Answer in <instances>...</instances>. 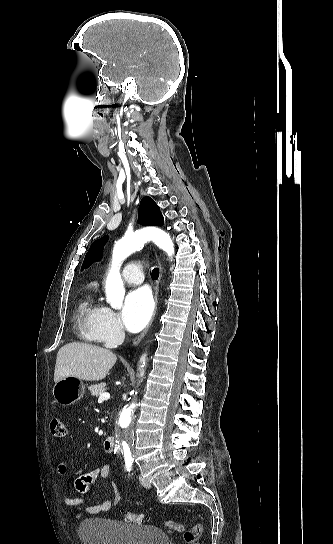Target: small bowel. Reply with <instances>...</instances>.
Instances as JSON below:
<instances>
[{
	"mask_svg": "<svg viewBox=\"0 0 333 544\" xmlns=\"http://www.w3.org/2000/svg\"><path fill=\"white\" fill-rule=\"evenodd\" d=\"M57 472L61 475L65 474L67 471V466L64 462H59L57 464ZM111 471L110 464H104L98 468L90 470L81 476H79L75 481V487L80 493H87L91 488V484L97 479L101 478L106 480L109 477ZM110 492L108 498L100 503L95 505H89L87 500L83 497H68L63 496V502L73 509V512L76 515H93L100 514L108 511L114 504H116L120 498L117 486L114 482H111Z\"/></svg>",
	"mask_w": 333,
	"mask_h": 544,
	"instance_id": "small-bowel-1",
	"label": "small bowel"
}]
</instances>
